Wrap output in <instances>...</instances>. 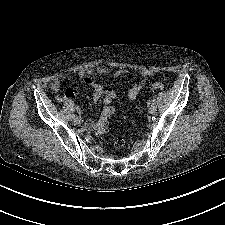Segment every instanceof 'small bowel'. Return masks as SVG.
<instances>
[{
    "mask_svg": "<svg viewBox=\"0 0 225 225\" xmlns=\"http://www.w3.org/2000/svg\"><path fill=\"white\" fill-rule=\"evenodd\" d=\"M127 73V70H116L112 71L109 68L106 67H98L94 70H84L81 71L78 75L80 79H82L86 84L90 85L93 89V100L98 101L101 99V97L104 96L105 102H110L112 100L118 99L119 96L117 93L112 90L109 87L101 85L99 82L93 80L90 78V75L93 74L95 76H101V75H109L113 74L114 76H122ZM138 74L140 76V81L134 84L127 92L126 98L128 101H133L136 99V97L139 95L143 87L145 86V79L152 76L154 73L151 70L148 69H140L138 71ZM64 81V76L56 77L52 83H51V91L53 94L58 95V99L61 100L64 98H74L75 93L71 88H67L63 95H59V91L61 89V86ZM94 125L93 121H88L85 123V128L87 130H91Z\"/></svg>",
    "mask_w": 225,
    "mask_h": 225,
    "instance_id": "small-bowel-1",
    "label": "small bowel"
}]
</instances>
